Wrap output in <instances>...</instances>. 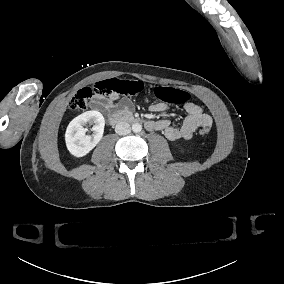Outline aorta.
Segmentation results:
<instances>
[{"instance_id": "1", "label": "aorta", "mask_w": 284, "mask_h": 284, "mask_svg": "<svg viewBox=\"0 0 284 284\" xmlns=\"http://www.w3.org/2000/svg\"><path fill=\"white\" fill-rule=\"evenodd\" d=\"M132 130L133 132L138 133L142 130V125L140 123H134L132 125Z\"/></svg>"}]
</instances>
